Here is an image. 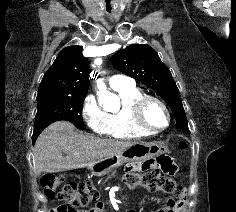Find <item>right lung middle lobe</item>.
<instances>
[{
    "mask_svg": "<svg viewBox=\"0 0 236 212\" xmlns=\"http://www.w3.org/2000/svg\"><path fill=\"white\" fill-rule=\"evenodd\" d=\"M86 95L79 96H47L37 98V114L35 116L32 142L51 123L66 120L80 129H85L82 118V106Z\"/></svg>",
    "mask_w": 236,
    "mask_h": 212,
    "instance_id": "dd1d6c3e",
    "label": "right lung middle lobe"
}]
</instances>
